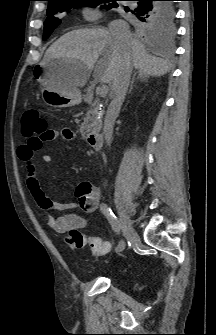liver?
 <instances>
[{
  "label": "liver",
  "mask_w": 216,
  "mask_h": 335,
  "mask_svg": "<svg viewBox=\"0 0 216 335\" xmlns=\"http://www.w3.org/2000/svg\"><path fill=\"white\" fill-rule=\"evenodd\" d=\"M100 56L102 59L98 61ZM55 59L79 63L66 76L67 83L75 90L87 83L94 69L95 79L109 84L113 93L114 81L125 59H129L139 75L159 77L170 70L166 61L151 56L137 39L131 37L128 42L119 43L104 28L78 29L64 34L46 50L42 63Z\"/></svg>",
  "instance_id": "obj_1"
}]
</instances>
